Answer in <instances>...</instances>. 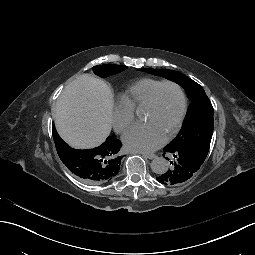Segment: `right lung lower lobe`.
<instances>
[{"label":"right lung lower lobe","mask_w":255,"mask_h":255,"mask_svg":"<svg viewBox=\"0 0 255 255\" xmlns=\"http://www.w3.org/2000/svg\"><path fill=\"white\" fill-rule=\"evenodd\" d=\"M79 160L83 166V175L86 177H97L100 175V154L97 152L89 153L83 150L79 153Z\"/></svg>","instance_id":"right-lung-lower-lobe-1"}]
</instances>
